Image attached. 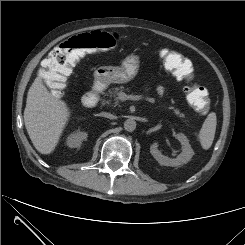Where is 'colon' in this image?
I'll list each match as a JSON object with an SVG mask.
<instances>
[{
	"mask_svg": "<svg viewBox=\"0 0 245 245\" xmlns=\"http://www.w3.org/2000/svg\"><path fill=\"white\" fill-rule=\"evenodd\" d=\"M120 37L114 32L94 31L69 38L55 47L44 60L41 77L55 93H61L73 66L86 54L115 48ZM166 67L180 80H187L191 73L185 58L176 52L164 56ZM187 100L199 115H207L211 109L208 90L201 85L188 87Z\"/></svg>",
	"mask_w": 245,
	"mask_h": 245,
	"instance_id": "1",
	"label": "colon"
}]
</instances>
